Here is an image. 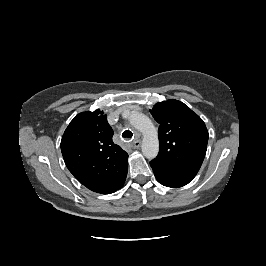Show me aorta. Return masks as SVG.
Segmentation results:
<instances>
[{"instance_id": "obj_1", "label": "aorta", "mask_w": 266, "mask_h": 266, "mask_svg": "<svg viewBox=\"0 0 266 266\" xmlns=\"http://www.w3.org/2000/svg\"><path fill=\"white\" fill-rule=\"evenodd\" d=\"M131 125L143 134L142 153L147 159H154L159 152V140L155 126L149 117L140 112H131Z\"/></svg>"}]
</instances>
